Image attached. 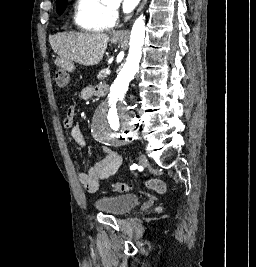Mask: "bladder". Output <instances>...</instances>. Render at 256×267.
<instances>
[{
  "mask_svg": "<svg viewBox=\"0 0 256 267\" xmlns=\"http://www.w3.org/2000/svg\"><path fill=\"white\" fill-rule=\"evenodd\" d=\"M139 195L103 196L97 201V209L105 210L108 215H123L140 204Z\"/></svg>",
  "mask_w": 256,
  "mask_h": 267,
  "instance_id": "1",
  "label": "bladder"
}]
</instances>
